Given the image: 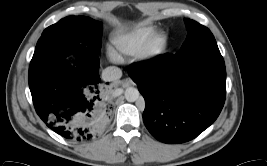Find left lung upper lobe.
Wrapping results in <instances>:
<instances>
[{
	"mask_svg": "<svg viewBox=\"0 0 267 166\" xmlns=\"http://www.w3.org/2000/svg\"><path fill=\"white\" fill-rule=\"evenodd\" d=\"M185 24L187 26L188 35L180 49V52L187 49L188 47H190L195 42L201 39L214 37L211 31L207 27L199 24L198 22L194 20L185 19Z\"/></svg>",
	"mask_w": 267,
	"mask_h": 166,
	"instance_id": "5c2ea615",
	"label": "left lung upper lobe"
}]
</instances>
